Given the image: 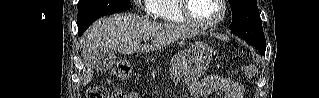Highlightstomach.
<instances>
[{"label":"stomach","mask_w":319,"mask_h":98,"mask_svg":"<svg viewBox=\"0 0 319 98\" xmlns=\"http://www.w3.org/2000/svg\"><path fill=\"white\" fill-rule=\"evenodd\" d=\"M212 55V48L201 41L195 42L184 52V81L192 93H196L200 89V78L207 71Z\"/></svg>","instance_id":"obj_1"}]
</instances>
